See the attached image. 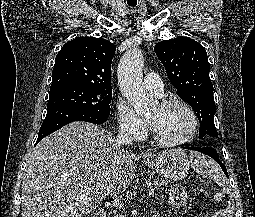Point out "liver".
Here are the masks:
<instances>
[{"instance_id": "6515ba94", "label": "liver", "mask_w": 255, "mask_h": 217, "mask_svg": "<svg viewBox=\"0 0 255 217\" xmlns=\"http://www.w3.org/2000/svg\"><path fill=\"white\" fill-rule=\"evenodd\" d=\"M88 122H72L29 153L22 181V217H82L108 194H120L135 177L133 156ZM192 153L191 155H195Z\"/></svg>"}]
</instances>
